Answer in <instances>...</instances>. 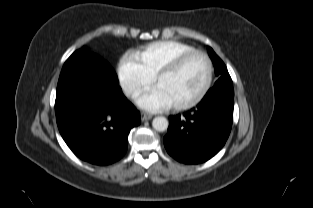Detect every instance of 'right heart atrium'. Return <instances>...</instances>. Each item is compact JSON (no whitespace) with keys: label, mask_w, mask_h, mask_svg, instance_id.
Instances as JSON below:
<instances>
[{"label":"right heart atrium","mask_w":313,"mask_h":208,"mask_svg":"<svg viewBox=\"0 0 313 208\" xmlns=\"http://www.w3.org/2000/svg\"><path fill=\"white\" fill-rule=\"evenodd\" d=\"M118 78L123 92L129 97L134 96L154 80V76L141 65L133 54L126 55L120 60Z\"/></svg>","instance_id":"obj_1"}]
</instances>
